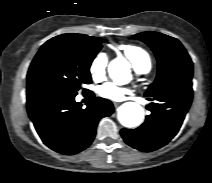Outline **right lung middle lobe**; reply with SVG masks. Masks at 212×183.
<instances>
[{"mask_svg":"<svg viewBox=\"0 0 212 183\" xmlns=\"http://www.w3.org/2000/svg\"><path fill=\"white\" fill-rule=\"evenodd\" d=\"M105 40L63 34L42 45L27 74V91L52 89L72 94L91 83L90 65Z\"/></svg>","mask_w":212,"mask_h":183,"instance_id":"dd1d6c3e","label":"right lung middle lobe"}]
</instances>
